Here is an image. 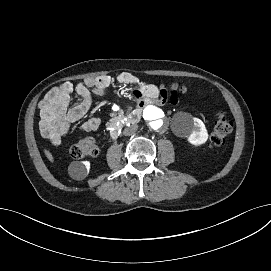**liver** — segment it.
<instances>
[{
	"label": "liver",
	"mask_w": 271,
	"mask_h": 271,
	"mask_svg": "<svg viewBox=\"0 0 271 271\" xmlns=\"http://www.w3.org/2000/svg\"><path fill=\"white\" fill-rule=\"evenodd\" d=\"M47 156L50 160L52 159V156L49 153H47Z\"/></svg>",
	"instance_id": "liver-1"
}]
</instances>
